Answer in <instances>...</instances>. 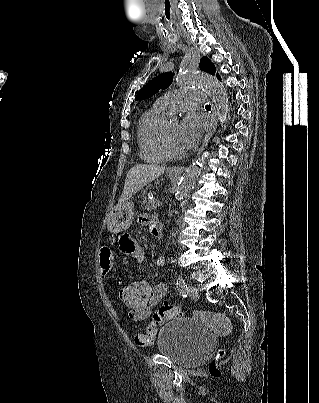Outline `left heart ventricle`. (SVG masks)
Wrapping results in <instances>:
<instances>
[{
    "instance_id": "1",
    "label": "left heart ventricle",
    "mask_w": 319,
    "mask_h": 403,
    "mask_svg": "<svg viewBox=\"0 0 319 403\" xmlns=\"http://www.w3.org/2000/svg\"><path fill=\"white\" fill-rule=\"evenodd\" d=\"M166 130L171 147L175 151H182L183 148L181 147L178 139L179 124L177 122H168L166 123Z\"/></svg>"
}]
</instances>
